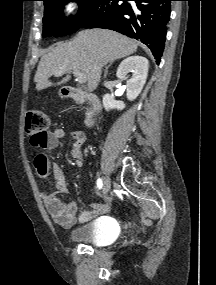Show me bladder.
<instances>
[{"label": "bladder", "instance_id": "31cf9c89", "mask_svg": "<svg viewBox=\"0 0 216 285\" xmlns=\"http://www.w3.org/2000/svg\"><path fill=\"white\" fill-rule=\"evenodd\" d=\"M117 235L116 223L108 217H102L73 228L69 232V239L72 242L100 247L110 244Z\"/></svg>", "mask_w": 216, "mask_h": 285}]
</instances>
